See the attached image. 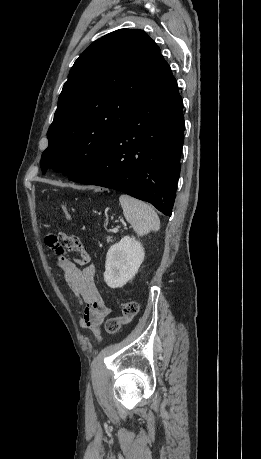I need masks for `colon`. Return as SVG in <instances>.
I'll use <instances>...</instances> for the list:
<instances>
[{
  "label": "colon",
  "instance_id": "5ec220e1",
  "mask_svg": "<svg viewBox=\"0 0 261 459\" xmlns=\"http://www.w3.org/2000/svg\"><path fill=\"white\" fill-rule=\"evenodd\" d=\"M61 213L65 219H70L69 210L65 205H61ZM139 310L138 303L128 301L122 304V314L118 317L109 318L105 323V329L109 334H116L123 325L130 323L137 315Z\"/></svg>",
  "mask_w": 261,
  "mask_h": 459
}]
</instances>
